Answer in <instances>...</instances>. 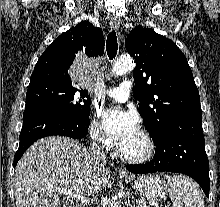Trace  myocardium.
<instances>
[{
  "label": "myocardium",
  "instance_id": "myocardium-1",
  "mask_svg": "<svg viewBox=\"0 0 220 207\" xmlns=\"http://www.w3.org/2000/svg\"><path fill=\"white\" fill-rule=\"evenodd\" d=\"M137 131L145 139L147 143V151L142 156L130 157V156H126L122 154L119 147L117 146L115 149V154L119 159H121L124 162L132 163V164H142V163H145L151 160L155 154L156 143H155L153 136L150 134V132L143 128H139Z\"/></svg>",
  "mask_w": 220,
  "mask_h": 207
}]
</instances>
